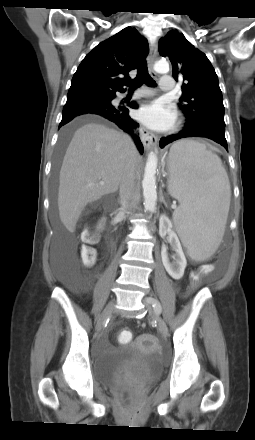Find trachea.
<instances>
[{
    "mask_svg": "<svg viewBox=\"0 0 255 440\" xmlns=\"http://www.w3.org/2000/svg\"><path fill=\"white\" fill-rule=\"evenodd\" d=\"M143 83H145L147 86L150 87H154L156 84L148 73L147 64L145 60L140 62L136 78L124 82V84L129 87V90H135L139 88Z\"/></svg>",
    "mask_w": 255,
    "mask_h": 440,
    "instance_id": "obj_1",
    "label": "trachea"
}]
</instances>
